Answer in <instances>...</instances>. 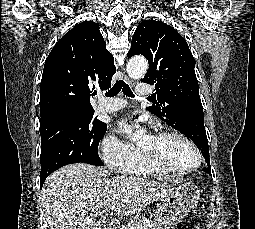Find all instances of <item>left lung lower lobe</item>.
<instances>
[{
    "mask_svg": "<svg viewBox=\"0 0 255 229\" xmlns=\"http://www.w3.org/2000/svg\"><path fill=\"white\" fill-rule=\"evenodd\" d=\"M193 115H194V118L196 121L195 123H196L198 129H200L201 131H205L203 110H201V109L196 110ZM205 160L208 165V168H206V172L211 175L210 158L205 157Z\"/></svg>",
    "mask_w": 255,
    "mask_h": 229,
    "instance_id": "1",
    "label": "left lung lower lobe"
}]
</instances>
